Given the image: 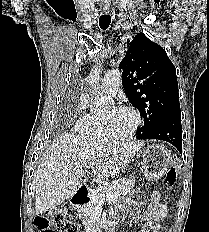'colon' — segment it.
<instances>
[{
  "label": "colon",
  "instance_id": "colon-1",
  "mask_svg": "<svg viewBox=\"0 0 209 232\" xmlns=\"http://www.w3.org/2000/svg\"><path fill=\"white\" fill-rule=\"evenodd\" d=\"M178 175L177 165H172L165 177L168 186L174 185ZM34 226L39 232H53L54 228L58 232H77L76 224L67 216L65 209L53 208L38 214L34 219Z\"/></svg>",
  "mask_w": 209,
  "mask_h": 232
}]
</instances>
